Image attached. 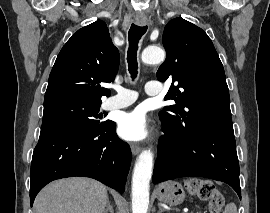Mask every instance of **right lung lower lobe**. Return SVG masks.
<instances>
[{
	"label": "right lung lower lobe",
	"mask_w": 270,
	"mask_h": 213,
	"mask_svg": "<svg viewBox=\"0 0 270 213\" xmlns=\"http://www.w3.org/2000/svg\"><path fill=\"white\" fill-rule=\"evenodd\" d=\"M115 127L110 120L99 130L41 127L30 170L31 206L46 184L72 176L94 178L124 192L131 151L128 144L118 138Z\"/></svg>",
	"instance_id": "98d812e1"
}]
</instances>
